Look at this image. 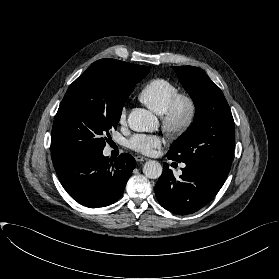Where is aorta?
Listing matches in <instances>:
<instances>
[{"instance_id": "obj_1", "label": "aorta", "mask_w": 279, "mask_h": 279, "mask_svg": "<svg viewBox=\"0 0 279 279\" xmlns=\"http://www.w3.org/2000/svg\"><path fill=\"white\" fill-rule=\"evenodd\" d=\"M128 125L133 131L153 132L158 128V120L152 112L142 108H135L128 116ZM162 170L161 164L155 160H149L143 166V173L150 179L159 178Z\"/></svg>"}]
</instances>
